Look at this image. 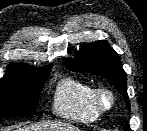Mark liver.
<instances>
[{"label": "liver", "mask_w": 147, "mask_h": 131, "mask_svg": "<svg viewBox=\"0 0 147 131\" xmlns=\"http://www.w3.org/2000/svg\"><path fill=\"white\" fill-rule=\"evenodd\" d=\"M17 131H79V129L69 123L40 122L18 128Z\"/></svg>", "instance_id": "liver-1"}]
</instances>
